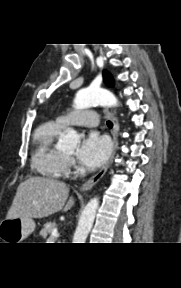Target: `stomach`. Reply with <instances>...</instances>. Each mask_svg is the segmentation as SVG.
Masks as SVG:
<instances>
[{
	"mask_svg": "<svg viewBox=\"0 0 181 288\" xmlns=\"http://www.w3.org/2000/svg\"><path fill=\"white\" fill-rule=\"evenodd\" d=\"M35 226L31 218H6L0 223V239L4 243H21L35 230Z\"/></svg>",
	"mask_w": 181,
	"mask_h": 288,
	"instance_id": "1",
	"label": "stomach"
}]
</instances>
